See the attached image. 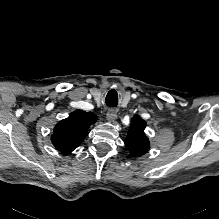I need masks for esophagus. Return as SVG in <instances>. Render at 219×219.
<instances>
[{
  "label": "esophagus",
  "instance_id": "obj_1",
  "mask_svg": "<svg viewBox=\"0 0 219 219\" xmlns=\"http://www.w3.org/2000/svg\"><path fill=\"white\" fill-rule=\"evenodd\" d=\"M106 116H107V120L109 122H114L117 119V111H116V109L113 108V107L108 108Z\"/></svg>",
  "mask_w": 219,
  "mask_h": 219
}]
</instances>
